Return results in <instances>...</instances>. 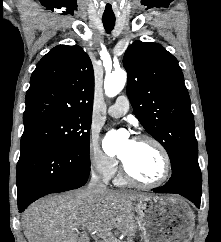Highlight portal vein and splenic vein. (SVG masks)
<instances>
[{"label": "portal vein and splenic vein", "mask_w": 221, "mask_h": 242, "mask_svg": "<svg viewBox=\"0 0 221 242\" xmlns=\"http://www.w3.org/2000/svg\"><path fill=\"white\" fill-rule=\"evenodd\" d=\"M89 231L94 230L93 228H88ZM98 235L103 238H107L109 233L106 230H98ZM109 240V239H107Z\"/></svg>", "instance_id": "1"}]
</instances>
